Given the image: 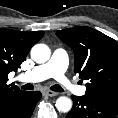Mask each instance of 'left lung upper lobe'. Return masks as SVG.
Returning a JSON list of instances; mask_svg holds the SVG:
<instances>
[{"mask_svg":"<svg viewBox=\"0 0 118 118\" xmlns=\"http://www.w3.org/2000/svg\"><path fill=\"white\" fill-rule=\"evenodd\" d=\"M74 50V72L88 80L85 96L118 103V42L90 27L56 32Z\"/></svg>","mask_w":118,"mask_h":118,"instance_id":"1","label":"left lung upper lobe"}]
</instances>
